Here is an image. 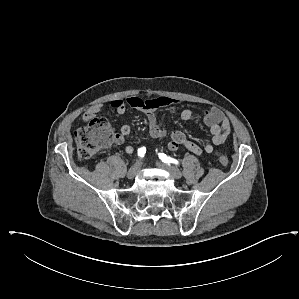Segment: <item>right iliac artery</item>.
Returning a JSON list of instances; mask_svg holds the SVG:
<instances>
[{
    "label": "right iliac artery",
    "instance_id": "obj_1",
    "mask_svg": "<svg viewBox=\"0 0 299 299\" xmlns=\"http://www.w3.org/2000/svg\"><path fill=\"white\" fill-rule=\"evenodd\" d=\"M145 153H146V148L145 147H141V148L138 149V156L140 158H143Z\"/></svg>",
    "mask_w": 299,
    "mask_h": 299
}]
</instances>
